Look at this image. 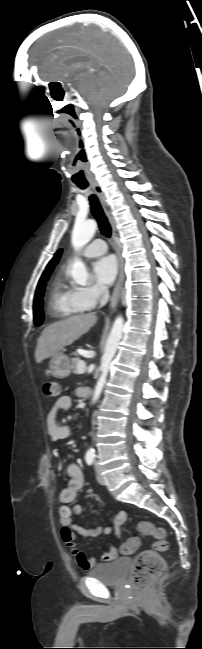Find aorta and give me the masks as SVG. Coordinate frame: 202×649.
<instances>
[{
	"label": "aorta",
	"instance_id": "aorta-1",
	"mask_svg": "<svg viewBox=\"0 0 202 649\" xmlns=\"http://www.w3.org/2000/svg\"><path fill=\"white\" fill-rule=\"evenodd\" d=\"M96 227L97 225L94 220L77 221L75 223L72 232V238H71L74 248L80 249L81 247L88 244L95 234ZM70 273L75 283L86 284L88 282L89 279L88 271L86 269L85 264L80 259H75ZM123 327H124L123 317L122 316L116 317L113 326L111 328L110 334L108 336V339L106 341L104 353L101 358V366H100L101 375L94 389L92 403H95L99 399L103 387L106 383L109 367L111 365L112 359L116 354L117 348L122 338ZM91 451L92 450L90 449L89 452Z\"/></svg>",
	"mask_w": 202,
	"mask_h": 649
}]
</instances>
